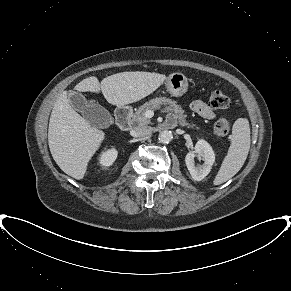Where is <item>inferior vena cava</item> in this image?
<instances>
[{"label": "inferior vena cava", "instance_id": "602c4592", "mask_svg": "<svg viewBox=\"0 0 291 291\" xmlns=\"http://www.w3.org/2000/svg\"><path fill=\"white\" fill-rule=\"evenodd\" d=\"M134 135L140 138L150 137L152 135V128L150 126L138 127L135 129Z\"/></svg>", "mask_w": 291, "mask_h": 291}]
</instances>
